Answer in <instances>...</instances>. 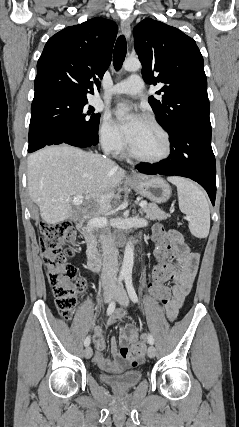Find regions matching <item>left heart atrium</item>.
Returning a JSON list of instances; mask_svg holds the SVG:
<instances>
[{
	"label": "left heart atrium",
	"instance_id": "39dd6f15",
	"mask_svg": "<svg viewBox=\"0 0 239 427\" xmlns=\"http://www.w3.org/2000/svg\"><path fill=\"white\" fill-rule=\"evenodd\" d=\"M124 109V106H119L116 109V114L120 115L124 111ZM143 120L144 119L140 115H135L129 123L120 125V128L128 142L132 140Z\"/></svg>",
	"mask_w": 239,
	"mask_h": 427
}]
</instances>
